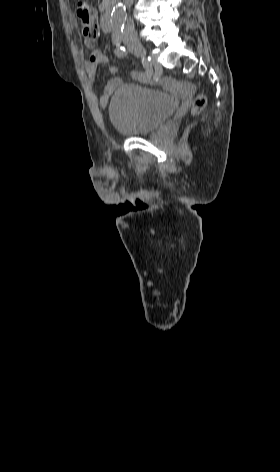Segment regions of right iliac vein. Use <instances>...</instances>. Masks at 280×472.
Segmentation results:
<instances>
[{"label":"right iliac vein","instance_id":"obj_1","mask_svg":"<svg viewBox=\"0 0 280 472\" xmlns=\"http://www.w3.org/2000/svg\"><path fill=\"white\" fill-rule=\"evenodd\" d=\"M125 44L129 48V50L133 52L135 55L142 58L146 56V49L136 37L134 36L126 37Z\"/></svg>","mask_w":280,"mask_h":472}]
</instances>
